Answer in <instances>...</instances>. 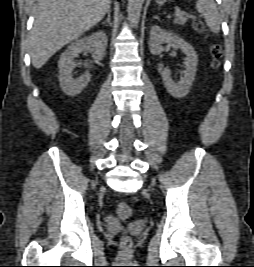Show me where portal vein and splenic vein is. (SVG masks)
<instances>
[{"mask_svg": "<svg viewBox=\"0 0 254 267\" xmlns=\"http://www.w3.org/2000/svg\"><path fill=\"white\" fill-rule=\"evenodd\" d=\"M185 14L186 12L181 11L179 8H176L174 16L178 17V16L185 15Z\"/></svg>", "mask_w": 254, "mask_h": 267, "instance_id": "18ae733b", "label": "portal vein and splenic vein"}]
</instances>
